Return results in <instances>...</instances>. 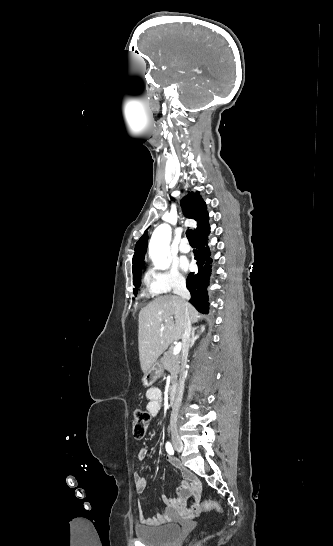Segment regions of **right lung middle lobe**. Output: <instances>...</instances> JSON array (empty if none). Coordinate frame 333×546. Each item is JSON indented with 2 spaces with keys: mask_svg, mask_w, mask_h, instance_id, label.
Here are the masks:
<instances>
[{
  "mask_svg": "<svg viewBox=\"0 0 333 546\" xmlns=\"http://www.w3.org/2000/svg\"><path fill=\"white\" fill-rule=\"evenodd\" d=\"M140 277L139 275H137L135 278H134V281H133V284L135 286V289H134V294H136L137 292V288L140 286Z\"/></svg>",
  "mask_w": 333,
  "mask_h": 546,
  "instance_id": "dd1d6c3e",
  "label": "right lung middle lobe"
}]
</instances>
